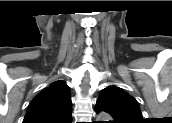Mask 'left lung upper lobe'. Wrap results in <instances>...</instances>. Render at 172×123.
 <instances>
[{
    "mask_svg": "<svg viewBox=\"0 0 172 123\" xmlns=\"http://www.w3.org/2000/svg\"><path fill=\"white\" fill-rule=\"evenodd\" d=\"M104 111L113 117V123H142L143 118L135 98L116 86L103 89L96 103V113Z\"/></svg>",
    "mask_w": 172,
    "mask_h": 123,
    "instance_id": "5c2ea615",
    "label": "left lung upper lobe"
}]
</instances>
